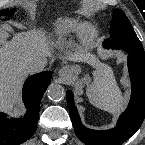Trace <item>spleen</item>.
<instances>
[{
	"label": "spleen",
	"instance_id": "obj_1",
	"mask_svg": "<svg viewBox=\"0 0 145 145\" xmlns=\"http://www.w3.org/2000/svg\"><path fill=\"white\" fill-rule=\"evenodd\" d=\"M88 95L90 102L104 111L117 114L123 108L124 98L110 69L96 77L88 87Z\"/></svg>",
	"mask_w": 145,
	"mask_h": 145
}]
</instances>
